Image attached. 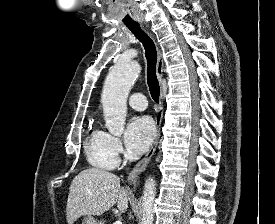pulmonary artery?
Returning <instances> with one entry per match:
<instances>
[{
	"mask_svg": "<svg viewBox=\"0 0 275 224\" xmlns=\"http://www.w3.org/2000/svg\"><path fill=\"white\" fill-rule=\"evenodd\" d=\"M129 105L138 111H143L147 108V99L141 93H135L131 95L128 99Z\"/></svg>",
	"mask_w": 275,
	"mask_h": 224,
	"instance_id": "obj_1",
	"label": "pulmonary artery"
}]
</instances>
